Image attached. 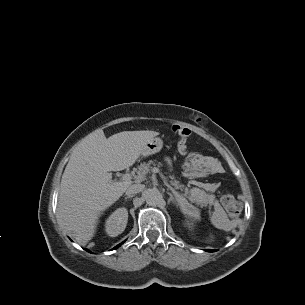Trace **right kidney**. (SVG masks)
Returning a JSON list of instances; mask_svg holds the SVG:
<instances>
[{"label": "right kidney", "instance_id": "1", "mask_svg": "<svg viewBox=\"0 0 305 305\" xmlns=\"http://www.w3.org/2000/svg\"><path fill=\"white\" fill-rule=\"evenodd\" d=\"M128 211L126 208L115 210L105 222V231L110 237H116L121 234L127 225Z\"/></svg>", "mask_w": 305, "mask_h": 305}]
</instances>
